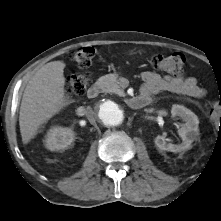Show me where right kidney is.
Masks as SVG:
<instances>
[{
  "mask_svg": "<svg viewBox=\"0 0 221 221\" xmlns=\"http://www.w3.org/2000/svg\"><path fill=\"white\" fill-rule=\"evenodd\" d=\"M74 140V133L69 128L53 127L45 139V146L51 151L65 149Z\"/></svg>",
  "mask_w": 221,
  "mask_h": 221,
  "instance_id": "right-kidney-1",
  "label": "right kidney"
}]
</instances>
